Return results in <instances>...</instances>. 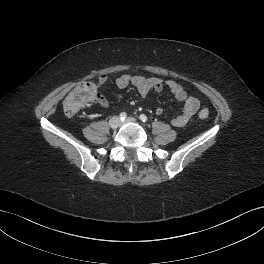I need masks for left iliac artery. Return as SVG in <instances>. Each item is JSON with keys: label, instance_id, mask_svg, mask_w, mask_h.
I'll list each match as a JSON object with an SVG mask.
<instances>
[{"label": "left iliac artery", "instance_id": "44dca946", "mask_svg": "<svg viewBox=\"0 0 264 264\" xmlns=\"http://www.w3.org/2000/svg\"><path fill=\"white\" fill-rule=\"evenodd\" d=\"M139 119H140L142 122H147V120H148L147 116L144 115V114H141V115L139 116Z\"/></svg>", "mask_w": 264, "mask_h": 264}]
</instances>
